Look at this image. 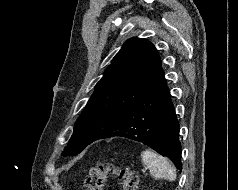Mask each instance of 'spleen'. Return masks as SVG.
<instances>
[{"mask_svg": "<svg viewBox=\"0 0 238 190\" xmlns=\"http://www.w3.org/2000/svg\"><path fill=\"white\" fill-rule=\"evenodd\" d=\"M141 156L143 163L150 169L152 176L156 179L163 178L169 181L176 179V169L165 157L151 150L143 151Z\"/></svg>", "mask_w": 238, "mask_h": 190, "instance_id": "spleen-1", "label": "spleen"}]
</instances>
